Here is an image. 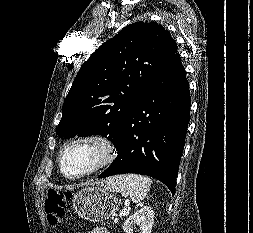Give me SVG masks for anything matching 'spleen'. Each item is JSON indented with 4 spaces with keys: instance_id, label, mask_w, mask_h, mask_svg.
Listing matches in <instances>:
<instances>
[{
    "instance_id": "spleen-1",
    "label": "spleen",
    "mask_w": 253,
    "mask_h": 233,
    "mask_svg": "<svg viewBox=\"0 0 253 233\" xmlns=\"http://www.w3.org/2000/svg\"><path fill=\"white\" fill-rule=\"evenodd\" d=\"M152 180L138 174H122L108 179L105 189L111 192H120L123 197L139 203L147 196Z\"/></svg>"
}]
</instances>
